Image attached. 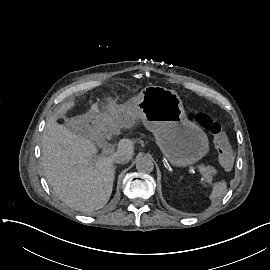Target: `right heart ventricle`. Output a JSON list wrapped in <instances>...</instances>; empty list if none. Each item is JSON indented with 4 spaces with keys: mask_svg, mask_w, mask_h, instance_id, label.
Returning a JSON list of instances; mask_svg holds the SVG:
<instances>
[{
    "mask_svg": "<svg viewBox=\"0 0 270 270\" xmlns=\"http://www.w3.org/2000/svg\"><path fill=\"white\" fill-rule=\"evenodd\" d=\"M135 168L138 169V167L136 166V164H135Z\"/></svg>",
    "mask_w": 270,
    "mask_h": 270,
    "instance_id": "e07e8e85",
    "label": "right heart ventricle"
}]
</instances>
